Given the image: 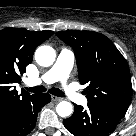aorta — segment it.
Segmentation results:
<instances>
[{
	"label": "aorta",
	"instance_id": "aorta-1",
	"mask_svg": "<svg viewBox=\"0 0 136 136\" xmlns=\"http://www.w3.org/2000/svg\"><path fill=\"white\" fill-rule=\"evenodd\" d=\"M55 50L50 46H40L35 52L36 62L43 67L52 65L55 61ZM56 112L61 117L70 116L73 113V106L70 102L61 101L56 107Z\"/></svg>",
	"mask_w": 136,
	"mask_h": 136
}]
</instances>
